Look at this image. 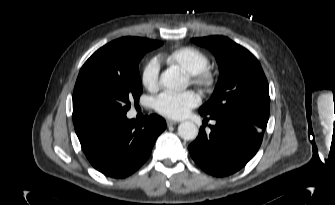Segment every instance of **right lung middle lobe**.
Segmentation results:
<instances>
[{
	"label": "right lung middle lobe",
	"mask_w": 335,
	"mask_h": 205,
	"mask_svg": "<svg viewBox=\"0 0 335 205\" xmlns=\"http://www.w3.org/2000/svg\"><path fill=\"white\" fill-rule=\"evenodd\" d=\"M162 44L127 38L114 46L125 56L119 68L98 66L78 77L73 92L74 126L125 115L131 101H138L142 93L139 61L145 53Z\"/></svg>",
	"instance_id": "1"
}]
</instances>
